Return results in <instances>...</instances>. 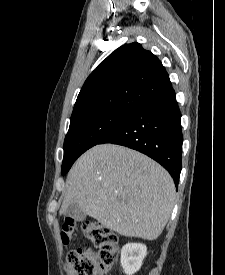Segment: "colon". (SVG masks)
<instances>
[{"label": "colon", "mask_w": 225, "mask_h": 275, "mask_svg": "<svg viewBox=\"0 0 225 275\" xmlns=\"http://www.w3.org/2000/svg\"><path fill=\"white\" fill-rule=\"evenodd\" d=\"M75 231V222L66 219L62 225L61 238L69 244ZM85 237L93 247L83 246L71 250L65 258L67 275H107L111 271L118 252L116 235L99 222L87 221L82 225Z\"/></svg>", "instance_id": "1"}]
</instances>
